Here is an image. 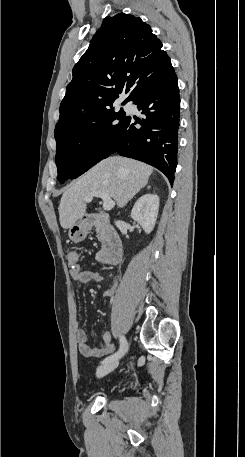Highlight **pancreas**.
Instances as JSON below:
<instances>
[{"label": "pancreas", "instance_id": "pancreas-1", "mask_svg": "<svg viewBox=\"0 0 245 457\" xmlns=\"http://www.w3.org/2000/svg\"><path fill=\"white\" fill-rule=\"evenodd\" d=\"M95 229H96V237L98 239V241H104L105 239V226L104 224H102V222H97V224H95Z\"/></svg>", "mask_w": 245, "mask_h": 457}]
</instances>
